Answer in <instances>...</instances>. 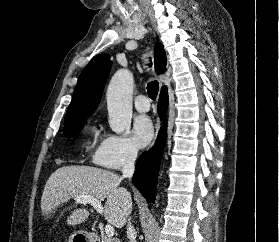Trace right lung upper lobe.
I'll use <instances>...</instances> for the list:
<instances>
[{"mask_svg":"<svg viewBox=\"0 0 279 242\" xmlns=\"http://www.w3.org/2000/svg\"><path fill=\"white\" fill-rule=\"evenodd\" d=\"M154 63L158 72L166 70V53L161 43L154 48ZM110 56H95L82 71L72 101L67 110L64 125L81 122L89 117L97 108L111 68ZM167 90L163 86L161 91Z\"/></svg>","mask_w":279,"mask_h":242,"instance_id":"1","label":"right lung upper lobe"}]
</instances>
